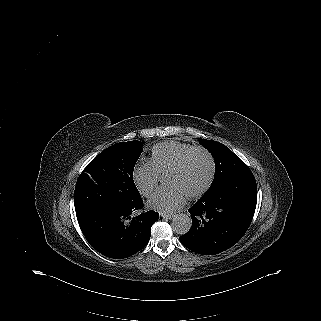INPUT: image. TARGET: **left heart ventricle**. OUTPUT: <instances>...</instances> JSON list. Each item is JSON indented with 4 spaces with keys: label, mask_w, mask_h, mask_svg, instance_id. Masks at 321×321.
<instances>
[{
    "label": "left heart ventricle",
    "mask_w": 321,
    "mask_h": 321,
    "mask_svg": "<svg viewBox=\"0 0 321 321\" xmlns=\"http://www.w3.org/2000/svg\"><path fill=\"white\" fill-rule=\"evenodd\" d=\"M209 169L208 159L204 156H196L192 161V167L182 179V183L187 187H195L201 184L208 175Z\"/></svg>",
    "instance_id": "b2bd125f"
}]
</instances>
